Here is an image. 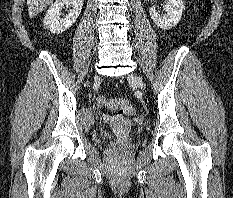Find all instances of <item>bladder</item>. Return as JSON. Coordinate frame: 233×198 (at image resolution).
<instances>
[{"mask_svg":"<svg viewBox=\"0 0 233 198\" xmlns=\"http://www.w3.org/2000/svg\"><path fill=\"white\" fill-rule=\"evenodd\" d=\"M86 120H87L88 122H90V121L92 120L91 116H90V115H87V116H86ZM136 136H139V135L137 134Z\"/></svg>","mask_w":233,"mask_h":198,"instance_id":"31cf9c89","label":"bladder"}]
</instances>
